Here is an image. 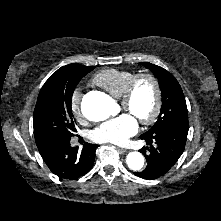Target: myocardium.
Listing matches in <instances>:
<instances>
[{
  "label": "myocardium",
  "instance_id": "1",
  "mask_svg": "<svg viewBox=\"0 0 221 221\" xmlns=\"http://www.w3.org/2000/svg\"><path fill=\"white\" fill-rule=\"evenodd\" d=\"M141 80H148L154 89V106L152 112L147 117L138 118L143 125H150L158 119L162 109V90L156 76L151 73H140L134 75L127 83L120 97V102L122 106H128L130 104L135 87Z\"/></svg>",
  "mask_w": 221,
  "mask_h": 221
}]
</instances>
